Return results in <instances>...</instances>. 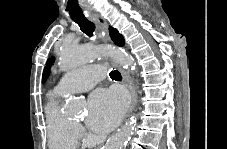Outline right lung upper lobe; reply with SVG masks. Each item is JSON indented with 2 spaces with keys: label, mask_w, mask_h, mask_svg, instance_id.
<instances>
[{
  "label": "right lung upper lobe",
  "mask_w": 227,
  "mask_h": 149,
  "mask_svg": "<svg viewBox=\"0 0 227 149\" xmlns=\"http://www.w3.org/2000/svg\"><path fill=\"white\" fill-rule=\"evenodd\" d=\"M109 33L115 44L119 46L124 45V38L116 29H114L113 27H109Z\"/></svg>",
  "instance_id": "1"
}]
</instances>
